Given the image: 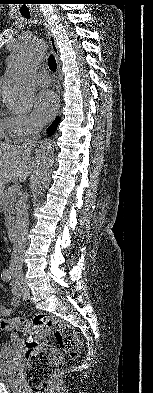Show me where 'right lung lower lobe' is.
<instances>
[{
    "mask_svg": "<svg viewBox=\"0 0 153 393\" xmlns=\"http://www.w3.org/2000/svg\"><path fill=\"white\" fill-rule=\"evenodd\" d=\"M59 122H60V117H56L47 130L48 136L52 135L56 131Z\"/></svg>",
    "mask_w": 153,
    "mask_h": 393,
    "instance_id": "98d812e1",
    "label": "right lung lower lobe"
}]
</instances>
